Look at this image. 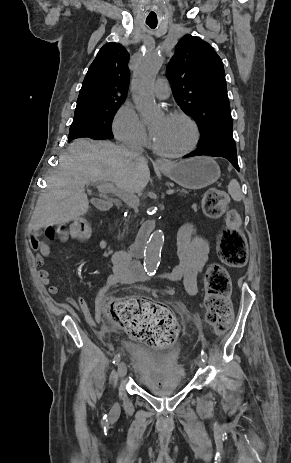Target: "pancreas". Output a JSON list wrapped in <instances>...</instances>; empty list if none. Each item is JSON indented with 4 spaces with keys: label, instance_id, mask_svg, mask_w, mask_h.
<instances>
[{
    "label": "pancreas",
    "instance_id": "pancreas-1",
    "mask_svg": "<svg viewBox=\"0 0 291 463\" xmlns=\"http://www.w3.org/2000/svg\"><path fill=\"white\" fill-rule=\"evenodd\" d=\"M174 190L178 193L179 196L184 198L192 195L188 190L185 189L175 188Z\"/></svg>",
    "mask_w": 291,
    "mask_h": 463
}]
</instances>
